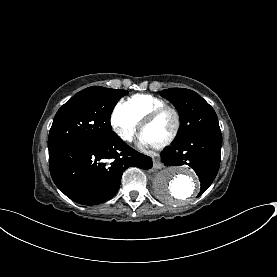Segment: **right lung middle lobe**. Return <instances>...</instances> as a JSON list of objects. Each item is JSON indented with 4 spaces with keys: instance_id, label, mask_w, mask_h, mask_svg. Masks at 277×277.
Masks as SVG:
<instances>
[{
    "instance_id": "right-lung-middle-lobe-1",
    "label": "right lung middle lobe",
    "mask_w": 277,
    "mask_h": 277,
    "mask_svg": "<svg viewBox=\"0 0 277 277\" xmlns=\"http://www.w3.org/2000/svg\"><path fill=\"white\" fill-rule=\"evenodd\" d=\"M127 93L100 86L77 93L56 113L49 132L48 149L114 137L110 115L118 100Z\"/></svg>"
}]
</instances>
